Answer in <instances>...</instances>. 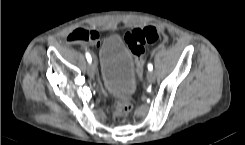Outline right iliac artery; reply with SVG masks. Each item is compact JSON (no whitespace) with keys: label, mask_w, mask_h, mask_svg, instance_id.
I'll return each mask as SVG.
<instances>
[{"label":"right iliac artery","mask_w":245,"mask_h":145,"mask_svg":"<svg viewBox=\"0 0 245 145\" xmlns=\"http://www.w3.org/2000/svg\"><path fill=\"white\" fill-rule=\"evenodd\" d=\"M86 58H87V61H88L89 63H91L92 58H91V56H90L89 53H86Z\"/></svg>","instance_id":"obj_1"}]
</instances>
